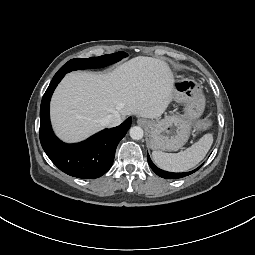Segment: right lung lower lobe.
<instances>
[{"mask_svg": "<svg viewBox=\"0 0 255 255\" xmlns=\"http://www.w3.org/2000/svg\"><path fill=\"white\" fill-rule=\"evenodd\" d=\"M66 72L56 73L43 95L40 108V142L50 160L64 173L83 179H94L105 174L114 161L120 140L131 126V117L121 125L105 129L77 144H66L53 133L49 103L53 91Z\"/></svg>", "mask_w": 255, "mask_h": 255, "instance_id": "98d812e1", "label": "right lung lower lobe"}]
</instances>
